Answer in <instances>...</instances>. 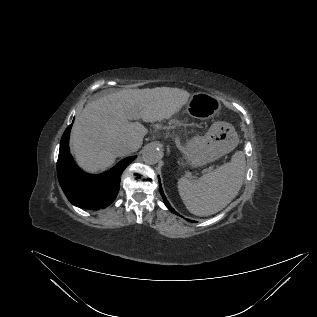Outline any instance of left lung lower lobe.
<instances>
[{
  "instance_id": "0a47b994",
  "label": "left lung lower lobe",
  "mask_w": 317,
  "mask_h": 317,
  "mask_svg": "<svg viewBox=\"0 0 317 317\" xmlns=\"http://www.w3.org/2000/svg\"><path fill=\"white\" fill-rule=\"evenodd\" d=\"M158 179H159V189H160V193H161V195H162V198H163L164 203L166 204V206L168 207V209H169L172 213L179 215V214L170 206L168 200L166 199V196H165L164 193H163V190H162V187H161L160 178L158 177Z\"/></svg>"
}]
</instances>
